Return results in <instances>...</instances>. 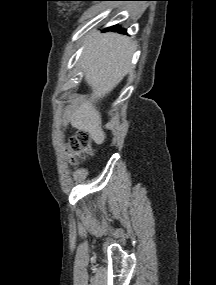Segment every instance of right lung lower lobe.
I'll list each match as a JSON object with an SVG mask.
<instances>
[{
  "instance_id": "right-lung-lower-lobe-1",
  "label": "right lung lower lobe",
  "mask_w": 216,
  "mask_h": 285,
  "mask_svg": "<svg viewBox=\"0 0 216 285\" xmlns=\"http://www.w3.org/2000/svg\"><path fill=\"white\" fill-rule=\"evenodd\" d=\"M107 30H112V31H117V32H121V33H125V30L122 29L121 27L119 26H112V27H109Z\"/></svg>"
}]
</instances>
